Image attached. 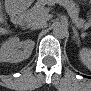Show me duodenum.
Segmentation results:
<instances>
[{
    "mask_svg": "<svg viewBox=\"0 0 91 91\" xmlns=\"http://www.w3.org/2000/svg\"><path fill=\"white\" fill-rule=\"evenodd\" d=\"M13 14L16 25L22 26L25 22L23 12L15 10L13 11Z\"/></svg>",
    "mask_w": 91,
    "mask_h": 91,
    "instance_id": "obj_1",
    "label": "duodenum"
}]
</instances>
